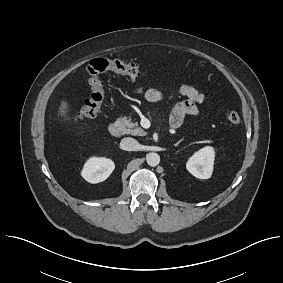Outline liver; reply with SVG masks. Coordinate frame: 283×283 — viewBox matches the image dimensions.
Instances as JSON below:
<instances>
[{"mask_svg": "<svg viewBox=\"0 0 283 283\" xmlns=\"http://www.w3.org/2000/svg\"><path fill=\"white\" fill-rule=\"evenodd\" d=\"M68 109V103L66 101H62L58 110V116H61L63 118L62 121L70 119V117L68 116Z\"/></svg>", "mask_w": 283, "mask_h": 283, "instance_id": "6515ba94", "label": "liver"}]
</instances>
